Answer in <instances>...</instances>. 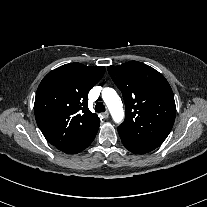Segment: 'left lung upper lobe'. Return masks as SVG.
I'll return each instance as SVG.
<instances>
[{
    "instance_id": "1",
    "label": "left lung upper lobe",
    "mask_w": 207,
    "mask_h": 207,
    "mask_svg": "<svg viewBox=\"0 0 207 207\" xmlns=\"http://www.w3.org/2000/svg\"><path fill=\"white\" fill-rule=\"evenodd\" d=\"M108 72L121 90L126 107L125 120L118 131L163 143L173 127L176 113L173 92L164 76L138 61L108 66Z\"/></svg>"
}]
</instances>
